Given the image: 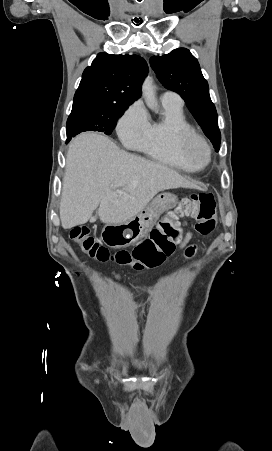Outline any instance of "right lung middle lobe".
<instances>
[{"mask_svg":"<svg viewBox=\"0 0 272 451\" xmlns=\"http://www.w3.org/2000/svg\"><path fill=\"white\" fill-rule=\"evenodd\" d=\"M128 105L106 103L73 104L67 120V142L84 131H99L110 135Z\"/></svg>","mask_w":272,"mask_h":451,"instance_id":"1","label":"right lung middle lobe"}]
</instances>
